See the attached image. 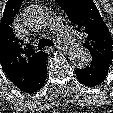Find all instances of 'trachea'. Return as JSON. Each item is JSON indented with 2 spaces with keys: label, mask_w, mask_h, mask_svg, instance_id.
<instances>
[{
  "label": "trachea",
  "mask_w": 113,
  "mask_h": 113,
  "mask_svg": "<svg viewBox=\"0 0 113 113\" xmlns=\"http://www.w3.org/2000/svg\"><path fill=\"white\" fill-rule=\"evenodd\" d=\"M46 46H54V43L49 39H45V38L40 39L38 43V49L40 50Z\"/></svg>",
  "instance_id": "obj_1"
}]
</instances>
